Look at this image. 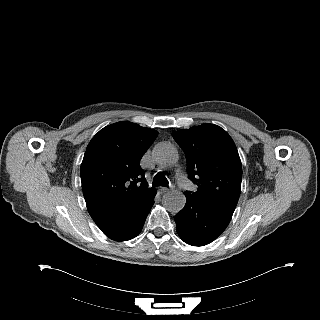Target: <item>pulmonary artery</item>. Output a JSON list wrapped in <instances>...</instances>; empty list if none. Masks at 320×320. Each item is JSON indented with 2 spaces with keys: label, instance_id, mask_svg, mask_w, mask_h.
Wrapping results in <instances>:
<instances>
[{
  "label": "pulmonary artery",
  "instance_id": "obj_1",
  "mask_svg": "<svg viewBox=\"0 0 320 320\" xmlns=\"http://www.w3.org/2000/svg\"><path fill=\"white\" fill-rule=\"evenodd\" d=\"M176 178H177V181L180 186H184L186 184H189V182L185 179V177L183 175H177Z\"/></svg>",
  "mask_w": 320,
  "mask_h": 320
}]
</instances>
